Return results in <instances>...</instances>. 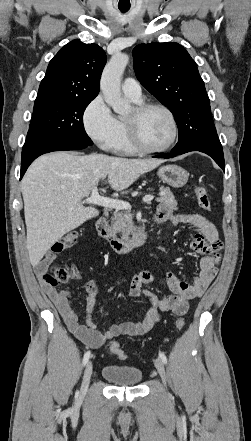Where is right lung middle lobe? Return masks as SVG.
<instances>
[{"label":"right lung middle lobe","instance_id":"obj_1","mask_svg":"<svg viewBox=\"0 0 251 441\" xmlns=\"http://www.w3.org/2000/svg\"><path fill=\"white\" fill-rule=\"evenodd\" d=\"M94 98L35 101L28 134H40L61 142L92 145L83 125V113Z\"/></svg>","mask_w":251,"mask_h":441}]
</instances>
